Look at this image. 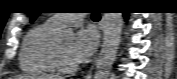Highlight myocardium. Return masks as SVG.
Wrapping results in <instances>:
<instances>
[{
    "label": "myocardium",
    "mask_w": 177,
    "mask_h": 79,
    "mask_svg": "<svg viewBox=\"0 0 177 79\" xmlns=\"http://www.w3.org/2000/svg\"><path fill=\"white\" fill-rule=\"evenodd\" d=\"M54 61H55L58 71H60L62 73L69 74V73H73L77 70L76 64L71 65V64L65 63L57 46H55V48H54Z\"/></svg>",
    "instance_id": "f54148a6"
}]
</instances>
